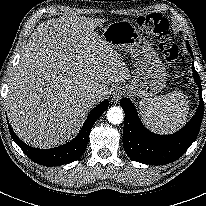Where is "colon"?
I'll return each instance as SVG.
<instances>
[{"instance_id": "obj_1", "label": "colon", "mask_w": 206, "mask_h": 206, "mask_svg": "<svg viewBox=\"0 0 206 206\" xmlns=\"http://www.w3.org/2000/svg\"><path fill=\"white\" fill-rule=\"evenodd\" d=\"M136 24L141 32L151 34L157 38L159 49L166 61L169 63L178 61L179 50L171 41L167 19L157 14H151L137 18Z\"/></svg>"}]
</instances>
